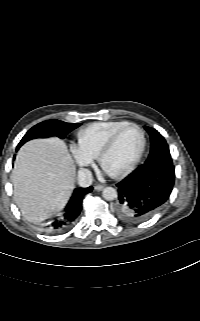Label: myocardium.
Here are the masks:
<instances>
[{
	"instance_id": "1",
	"label": "myocardium",
	"mask_w": 200,
	"mask_h": 321,
	"mask_svg": "<svg viewBox=\"0 0 200 321\" xmlns=\"http://www.w3.org/2000/svg\"><path fill=\"white\" fill-rule=\"evenodd\" d=\"M131 127L136 128L140 132L141 145H140V148H139L135 158L133 159L131 164L124 171L117 173V174H110L109 173V175L115 179H122V178H125L126 176H128L129 174H131L134 171V169L137 167L138 163L140 162L142 155H143L145 148H146V135H145V131L143 130V128L136 123H127L126 125L120 127L108 138V140L101 147V149L97 155L98 163L100 164L101 167H103L102 161H103L104 156L114 147L119 136L126 129L131 128Z\"/></svg>"
}]
</instances>
